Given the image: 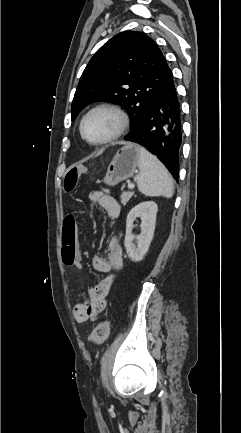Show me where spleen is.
Masks as SVG:
<instances>
[{"mask_svg":"<svg viewBox=\"0 0 241 433\" xmlns=\"http://www.w3.org/2000/svg\"><path fill=\"white\" fill-rule=\"evenodd\" d=\"M139 174L136 177L138 190L149 197L171 198L174 183L165 166L145 148H139Z\"/></svg>","mask_w":241,"mask_h":433,"instance_id":"obj_1","label":"spleen"}]
</instances>
